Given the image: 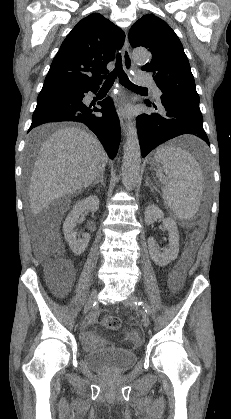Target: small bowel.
Here are the masks:
<instances>
[{
	"mask_svg": "<svg viewBox=\"0 0 231 419\" xmlns=\"http://www.w3.org/2000/svg\"><path fill=\"white\" fill-rule=\"evenodd\" d=\"M71 277L67 281V284L70 283ZM176 284H172V289L176 291ZM66 286L61 289L60 293L65 291ZM100 315V311L96 310L92 312L85 320L83 330H82V338H83V345L87 350L94 349L99 343L103 342V338L94 330H90L89 327L96 324L97 319Z\"/></svg>",
	"mask_w": 231,
	"mask_h": 419,
	"instance_id": "c3829d8e",
	"label": "small bowel"
}]
</instances>
